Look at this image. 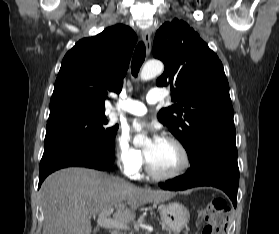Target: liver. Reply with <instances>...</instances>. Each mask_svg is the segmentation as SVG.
<instances>
[{
    "instance_id": "6515ba94",
    "label": "liver",
    "mask_w": 279,
    "mask_h": 234,
    "mask_svg": "<svg viewBox=\"0 0 279 234\" xmlns=\"http://www.w3.org/2000/svg\"><path fill=\"white\" fill-rule=\"evenodd\" d=\"M166 191L136 187L93 169L66 168L46 178L40 189L42 234H91L90 215L115 209L114 220L130 222L147 203L169 200Z\"/></svg>"
}]
</instances>
